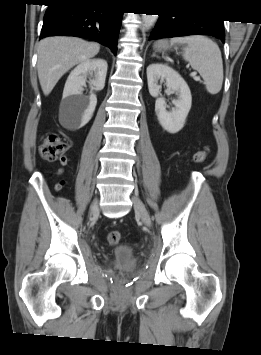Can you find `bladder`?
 <instances>
[{
	"label": "bladder",
	"instance_id": "31cf9c89",
	"mask_svg": "<svg viewBox=\"0 0 261 355\" xmlns=\"http://www.w3.org/2000/svg\"><path fill=\"white\" fill-rule=\"evenodd\" d=\"M114 270L116 271H130L136 263L134 250L128 245L119 246L112 256Z\"/></svg>",
	"mask_w": 261,
	"mask_h": 355
}]
</instances>
